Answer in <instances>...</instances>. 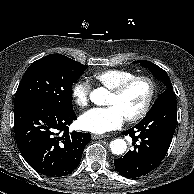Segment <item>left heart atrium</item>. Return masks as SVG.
<instances>
[{
	"label": "left heart atrium",
	"instance_id": "1",
	"mask_svg": "<svg viewBox=\"0 0 194 194\" xmlns=\"http://www.w3.org/2000/svg\"><path fill=\"white\" fill-rule=\"evenodd\" d=\"M124 120L115 106L92 108L80 116L79 126L85 131L101 134L121 127Z\"/></svg>",
	"mask_w": 194,
	"mask_h": 194
}]
</instances>
